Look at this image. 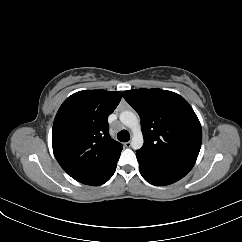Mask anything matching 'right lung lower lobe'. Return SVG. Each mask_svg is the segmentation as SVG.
Masks as SVG:
<instances>
[{
    "mask_svg": "<svg viewBox=\"0 0 242 242\" xmlns=\"http://www.w3.org/2000/svg\"><path fill=\"white\" fill-rule=\"evenodd\" d=\"M121 153V152H120ZM120 153L99 167L92 175L81 181L83 184L97 186L107 182L116 170Z\"/></svg>",
    "mask_w": 242,
    "mask_h": 242,
    "instance_id": "obj_1",
    "label": "right lung lower lobe"
}]
</instances>
